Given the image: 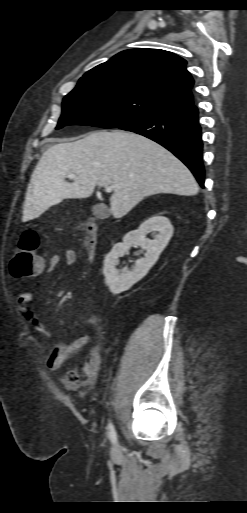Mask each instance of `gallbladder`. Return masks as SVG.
<instances>
[{"label":"gallbladder","instance_id":"obj_1","mask_svg":"<svg viewBox=\"0 0 247 513\" xmlns=\"http://www.w3.org/2000/svg\"><path fill=\"white\" fill-rule=\"evenodd\" d=\"M92 211L96 217H103L108 213L106 207L100 204L93 206Z\"/></svg>","mask_w":247,"mask_h":513}]
</instances>
